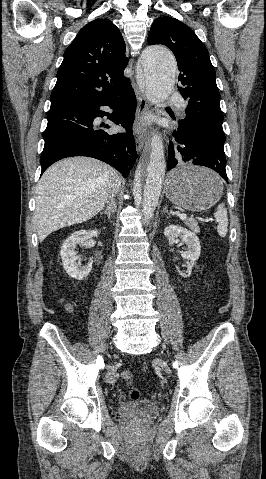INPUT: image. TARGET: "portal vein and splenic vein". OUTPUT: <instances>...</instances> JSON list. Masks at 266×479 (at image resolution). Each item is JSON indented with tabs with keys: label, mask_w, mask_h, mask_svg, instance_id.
Masks as SVG:
<instances>
[{
	"label": "portal vein and splenic vein",
	"mask_w": 266,
	"mask_h": 479,
	"mask_svg": "<svg viewBox=\"0 0 266 479\" xmlns=\"http://www.w3.org/2000/svg\"><path fill=\"white\" fill-rule=\"evenodd\" d=\"M180 219H186L187 218V215L186 214H179L178 215Z\"/></svg>",
	"instance_id": "portal-vein-and-splenic-vein-1"
}]
</instances>
